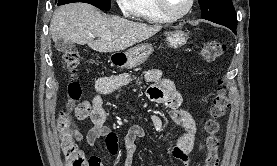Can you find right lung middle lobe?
Returning <instances> with one entry per match:
<instances>
[{
    "instance_id": "1",
    "label": "right lung middle lobe",
    "mask_w": 277,
    "mask_h": 166,
    "mask_svg": "<svg viewBox=\"0 0 277 166\" xmlns=\"http://www.w3.org/2000/svg\"><path fill=\"white\" fill-rule=\"evenodd\" d=\"M72 2L89 3L101 10H106V11H108L111 6V0H58V5H64Z\"/></svg>"
}]
</instances>
